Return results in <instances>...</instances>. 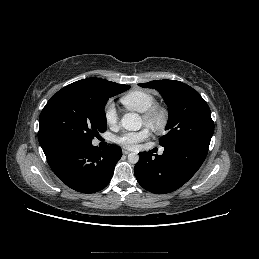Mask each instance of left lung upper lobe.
<instances>
[{
    "instance_id": "obj_1",
    "label": "left lung upper lobe",
    "mask_w": 259,
    "mask_h": 259,
    "mask_svg": "<svg viewBox=\"0 0 259 259\" xmlns=\"http://www.w3.org/2000/svg\"><path fill=\"white\" fill-rule=\"evenodd\" d=\"M161 93L168 105V133L159 144L194 143L209 147L214 123L206 101L189 85L176 80H155L139 84Z\"/></svg>"
}]
</instances>
